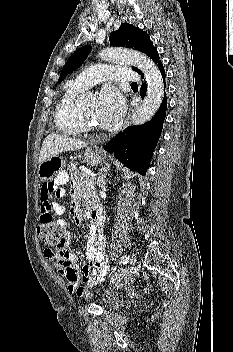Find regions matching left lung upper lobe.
<instances>
[{
	"label": "left lung upper lobe",
	"mask_w": 233,
	"mask_h": 352,
	"mask_svg": "<svg viewBox=\"0 0 233 352\" xmlns=\"http://www.w3.org/2000/svg\"><path fill=\"white\" fill-rule=\"evenodd\" d=\"M109 41L112 46L134 48L138 51H141L147 56H149L156 64L160 61L158 52L153 46L149 35L143 30L129 23L121 24L117 31L112 32L110 34ZM90 51V45L84 46L75 51L64 65L60 73L58 83H60L66 77L67 74L79 68L87 58ZM132 69H134L139 74H142V72L138 68L132 67Z\"/></svg>",
	"instance_id": "5c2ea615"
}]
</instances>
